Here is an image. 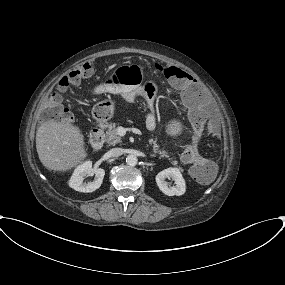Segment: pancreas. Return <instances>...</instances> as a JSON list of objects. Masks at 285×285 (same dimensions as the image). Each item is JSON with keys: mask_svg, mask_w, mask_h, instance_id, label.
Listing matches in <instances>:
<instances>
[{"mask_svg": "<svg viewBox=\"0 0 285 285\" xmlns=\"http://www.w3.org/2000/svg\"><path fill=\"white\" fill-rule=\"evenodd\" d=\"M105 140L110 145H115L121 143V137L117 133V125L115 123H109L106 125ZM149 144L153 146V152L159 154L161 157L168 158V154L164 150H160V146L156 143V140L151 138L149 139ZM173 165H176V161H172Z\"/></svg>", "mask_w": 285, "mask_h": 285, "instance_id": "cf45deb5", "label": "pancreas"}]
</instances>
